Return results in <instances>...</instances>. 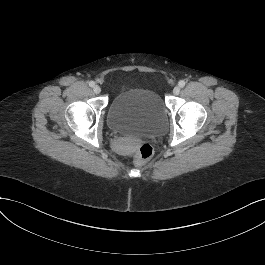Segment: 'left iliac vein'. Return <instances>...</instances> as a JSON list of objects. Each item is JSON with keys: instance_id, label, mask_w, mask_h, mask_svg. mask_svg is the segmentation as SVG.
Segmentation results:
<instances>
[{"instance_id": "obj_1", "label": "left iliac vein", "mask_w": 265, "mask_h": 265, "mask_svg": "<svg viewBox=\"0 0 265 265\" xmlns=\"http://www.w3.org/2000/svg\"><path fill=\"white\" fill-rule=\"evenodd\" d=\"M180 87L179 86H175L174 88H173V94L174 95H178L179 93H180Z\"/></svg>"}]
</instances>
